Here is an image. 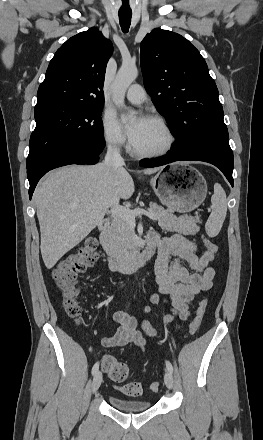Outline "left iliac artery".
<instances>
[{"label": "left iliac artery", "mask_w": 263, "mask_h": 440, "mask_svg": "<svg viewBox=\"0 0 263 440\" xmlns=\"http://www.w3.org/2000/svg\"><path fill=\"white\" fill-rule=\"evenodd\" d=\"M166 367H167L168 371H170L171 373L173 372L172 364L169 361H166Z\"/></svg>", "instance_id": "left-iliac-artery-1"}]
</instances>
